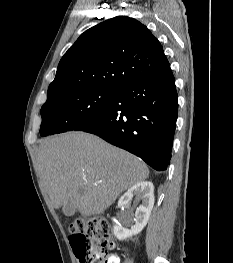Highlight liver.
I'll list each match as a JSON object with an SVG mask.
<instances>
[{
  "mask_svg": "<svg viewBox=\"0 0 233 263\" xmlns=\"http://www.w3.org/2000/svg\"><path fill=\"white\" fill-rule=\"evenodd\" d=\"M38 160L52 206L59 209L71 201L84 216L102 214L122 192L149 176L139 158L84 132L44 139Z\"/></svg>",
  "mask_w": 233,
  "mask_h": 263,
  "instance_id": "1",
  "label": "liver"
}]
</instances>
